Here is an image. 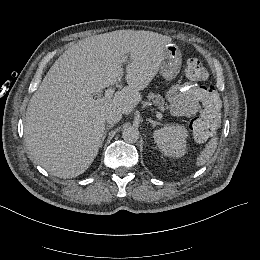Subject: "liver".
Instances as JSON below:
<instances>
[{"label": "liver", "mask_w": 260, "mask_h": 260, "mask_svg": "<svg viewBox=\"0 0 260 260\" xmlns=\"http://www.w3.org/2000/svg\"><path fill=\"white\" fill-rule=\"evenodd\" d=\"M172 38L152 31L116 30L72 45L53 64L31 97L24 121V143L30 160L59 178L84 173L98 154L106 114L117 109L129 115L159 71ZM130 53L127 86L111 100L93 96L123 76L122 63Z\"/></svg>", "instance_id": "1"}]
</instances>
